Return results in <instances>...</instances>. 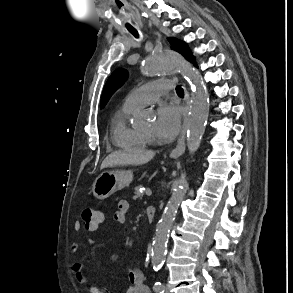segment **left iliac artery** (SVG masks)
I'll return each mask as SVG.
<instances>
[{
	"mask_svg": "<svg viewBox=\"0 0 293 293\" xmlns=\"http://www.w3.org/2000/svg\"><path fill=\"white\" fill-rule=\"evenodd\" d=\"M153 290L156 293H164V285L160 281H155L154 286H153Z\"/></svg>",
	"mask_w": 293,
	"mask_h": 293,
	"instance_id": "obj_1",
	"label": "left iliac artery"
}]
</instances>
